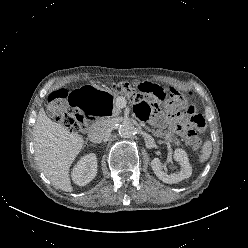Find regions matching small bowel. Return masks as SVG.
Returning <instances> with one entry per match:
<instances>
[{"instance_id":"small-bowel-1","label":"small bowel","mask_w":248,"mask_h":248,"mask_svg":"<svg viewBox=\"0 0 248 248\" xmlns=\"http://www.w3.org/2000/svg\"><path fill=\"white\" fill-rule=\"evenodd\" d=\"M135 114L140 120H150L158 126H169L171 130L181 135L187 143H191L193 135L187 123V117L174 113L163 114L152 104L144 102L136 104Z\"/></svg>"}]
</instances>
